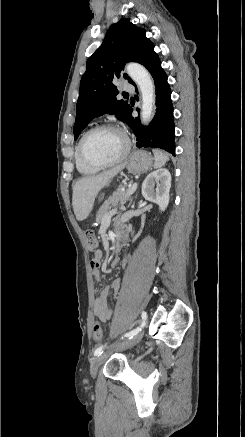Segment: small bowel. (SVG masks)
Here are the masks:
<instances>
[{
	"label": "small bowel",
	"mask_w": 245,
	"mask_h": 437,
	"mask_svg": "<svg viewBox=\"0 0 245 437\" xmlns=\"http://www.w3.org/2000/svg\"><path fill=\"white\" fill-rule=\"evenodd\" d=\"M123 231L125 232L126 237H128V232L124 229ZM101 257H102V252L98 250L95 252L91 260L92 271L97 280L99 279L100 276L99 265H100ZM119 285H120L119 280H114L110 286L105 287L100 291L99 296L94 301V306H93L94 315L103 322L109 321L112 317V310L107 302L109 292L110 291L117 292L119 289Z\"/></svg>",
	"instance_id": "obj_1"
}]
</instances>
